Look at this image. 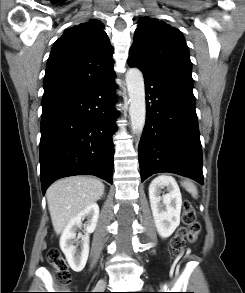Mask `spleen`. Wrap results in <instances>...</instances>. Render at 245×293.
<instances>
[{
    "label": "spleen",
    "mask_w": 245,
    "mask_h": 293,
    "mask_svg": "<svg viewBox=\"0 0 245 293\" xmlns=\"http://www.w3.org/2000/svg\"><path fill=\"white\" fill-rule=\"evenodd\" d=\"M182 186L194 197L197 198L198 191L195 184L189 180L183 181Z\"/></svg>",
    "instance_id": "1"
}]
</instances>
